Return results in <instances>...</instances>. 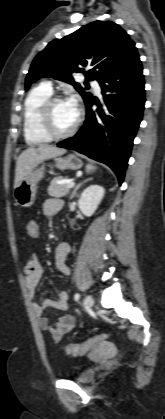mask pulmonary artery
<instances>
[{
    "label": "pulmonary artery",
    "instance_id": "pulmonary-artery-1",
    "mask_svg": "<svg viewBox=\"0 0 165 419\" xmlns=\"http://www.w3.org/2000/svg\"><path fill=\"white\" fill-rule=\"evenodd\" d=\"M92 86L94 87L95 91L99 94L101 92V86H100V82L98 80H93L91 82ZM46 85L52 89L51 87V83H46Z\"/></svg>",
    "mask_w": 165,
    "mask_h": 419
}]
</instances>
